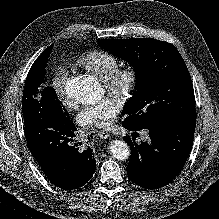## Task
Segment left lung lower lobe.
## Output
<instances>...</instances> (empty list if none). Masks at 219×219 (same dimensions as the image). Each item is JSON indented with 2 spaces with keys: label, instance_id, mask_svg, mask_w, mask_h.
I'll return each mask as SVG.
<instances>
[{
  "label": "left lung lower lobe",
  "instance_id": "left-lung-lower-lobe-1",
  "mask_svg": "<svg viewBox=\"0 0 219 219\" xmlns=\"http://www.w3.org/2000/svg\"><path fill=\"white\" fill-rule=\"evenodd\" d=\"M123 126L130 131H139L124 121ZM195 127L196 121H189L162 129H148L150 140L139 145L125 137L132 152L127 166L131 181L145 189H159L172 182L191 152Z\"/></svg>",
  "mask_w": 219,
  "mask_h": 219
}]
</instances>
